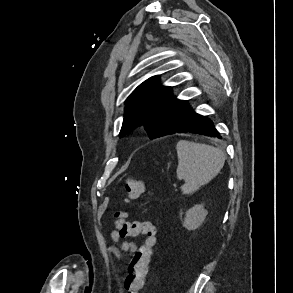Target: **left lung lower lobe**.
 <instances>
[{"instance_id":"left-lung-lower-lobe-1","label":"left lung lower lobe","mask_w":293,"mask_h":293,"mask_svg":"<svg viewBox=\"0 0 293 293\" xmlns=\"http://www.w3.org/2000/svg\"><path fill=\"white\" fill-rule=\"evenodd\" d=\"M199 133L211 137L221 138L218 131L214 128L212 121L207 117L194 112L188 107L177 125L169 134L173 133Z\"/></svg>"}]
</instances>
